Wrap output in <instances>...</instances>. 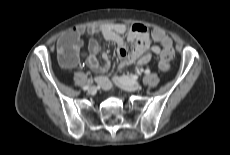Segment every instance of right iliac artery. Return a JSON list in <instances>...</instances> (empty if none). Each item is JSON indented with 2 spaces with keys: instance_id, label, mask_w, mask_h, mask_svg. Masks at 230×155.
<instances>
[{
  "instance_id": "obj_1",
  "label": "right iliac artery",
  "mask_w": 230,
  "mask_h": 155,
  "mask_svg": "<svg viewBox=\"0 0 230 155\" xmlns=\"http://www.w3.org/2000/svg\"><path fill=\"white\" fill-rule=\"evenodd\" d=\"M92 82H93V80L91 79V80L89 81L88 85L84 86L83 89H84V90L88 89L89 84L92 83Z\"/></svg>"
}]
</instances>
